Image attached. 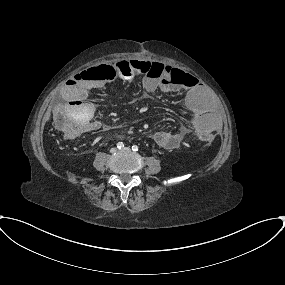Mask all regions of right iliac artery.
I'll return each instance as SVG.
<instances>
[{
  "label": "right iliac artery",
  "instance_id": "obj_1",
  "mask_svg": "<svg viewBox=\"0 0 285 285\" xmlns=\"http://www.w3.org/2000/svg\"><path fill=\"white\" fill-rule=\"evenodd\" d=\"M123 147H124L123 142L117 143V148H118V149H121V148H123Z\"/></svg>",
  "mask_w": 285,
  "mask_h": 285
}]
</instances>
